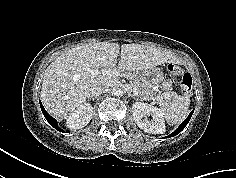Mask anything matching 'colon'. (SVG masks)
Instances as JSON below:
<instances>
[{"label":"colon","instance_id":"colon-1","mask_svg":"<svg viewBox=\"0 0 236 178\" xmlns=\"http://www.w3.org/2000/svg\"><path fill=\"white\" fill-rule=\"evenodd\" d=\"M168 72L173 76L181 77V89L183 94L189 96L192 93L193 79L189 73H186L182 70L179 65L169 64Z\"/></svg>","mask_w":236,"mask_h":178}]
</instances>
